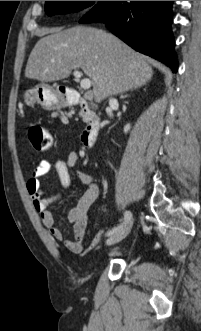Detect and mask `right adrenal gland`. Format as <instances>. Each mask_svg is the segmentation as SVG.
<instances>
[{
    "label": "right adrenal gland",
    "mask_w": 201,
    "mask_h": 331,
    "mask_svg": "<svg viewBox=\"0 0 201 331\" xmlns=\"http://www.w3.org/2000/svg\"><path fill=\"white\" fill-rule=\"evenodd\" d=\"M128 96H129V94H122V95L120 96V98L123 99V98H126V97H128Z\"/></svg>",
    "instance_id": "2a0ac1e0"
}]
</instances>
